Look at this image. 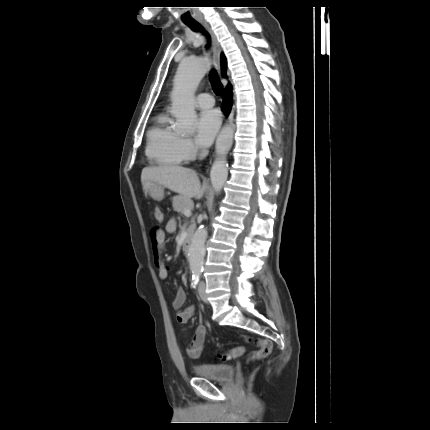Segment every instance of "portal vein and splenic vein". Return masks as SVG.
Returning <instances> with one entry per match:
<instances>
[{
  "label": "portal vein and splenic vein",
  "instance_id": "18ae733b",
  "mask_svg": "<svg viewBox=\"0 0 430 430\" xmlns=\"http://www.w3.org/2000/svg\"><path fill=\"white\" fill-rule=\"evenodd\" d=\"M184 215L185 216H191V209H186L185 211H184Z\"/></svg>",
  "mask_w": 430,
  "mask_h": 430
}]
</instances>
